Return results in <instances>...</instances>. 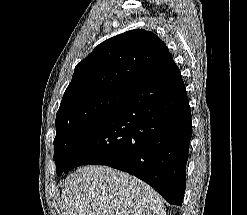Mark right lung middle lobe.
Wrapping results in <instances>:
<instances>
[{
    "label": "right lung middle lobe",
    "instance_id": "right-lung-middle-lobe-1",
    "mask_svg": "<svg viewBox=\"0 0 247 215\" xmlns=\"http://www.w3.org/2000/svg\"><path fill=\"white\" fill-rule=\"evenodd\" d=\"M131 93L122 89H86L63 96L55 122L54 161L58 176L69 170L68 158L77 141L116 113Z\"/></svg>",
    "mask_w": 247,
    "mask_h": 215
}]
</instances>
